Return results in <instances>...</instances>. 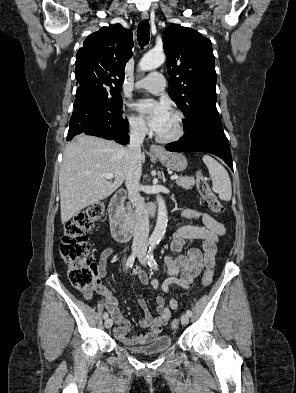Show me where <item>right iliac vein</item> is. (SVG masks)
<instances>
[{"mask_svg":"<svg viewBox=\"0 0 296 393\" xmlns=\"http://www.w3.org/2000/svg\"><path fill=\"white\" fill-rule=\"evenodd\" d=\"M137 250H138L137 248H134V249H133L134 252H136ZM104 325H105V327H106L107 329H110V328L112 327V325H113V320H112L111 318H107V319L105 320Z\"/></svg>","mask_w":296,"mask_h":393,"instance_id":"obj_1","label":"right iliac vein"}]
</instances>
